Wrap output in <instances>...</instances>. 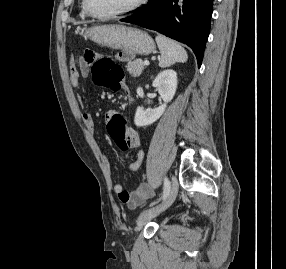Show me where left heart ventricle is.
Instances as JSON below:
<instances>
[{
  "instance_id": "1",
  "label": "left heart ventricle",
  "mask_w": 286,
  "mask_h": 269,
  "mask_svg": "<svg viewBox=\"0 0 286 269\" xmlns=\"http://www.w3.org/2000/svg\"><path fill=\"white\" fill-rule=\"evenodd\" d=\"M136 0H88L90 9L100 15L110 14L130 6Z\"/></svg>"
}]
</instances>
